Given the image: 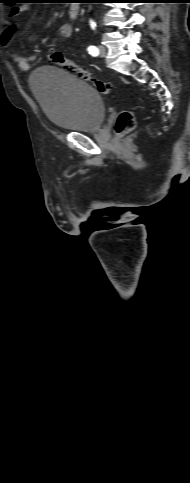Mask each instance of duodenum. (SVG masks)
Wrapping results in <instances>:
<instances>
[{
	"mask_svg": "<svg viewBox=\"0 0 190 483\" xmlns=\"http://www.w3.org/2000/svg\"><path fill=\"white\" fill-rule=\"evenodd\" d=\"M69 17L71 19H76L79 15V5L76 1H72L68 10Z\"/></svg>",
	"mask_w": 190,
	"mask_h": 483,
	"instance_id": "410a0bca",
	"label": "duodenum"
}]
</instances>
